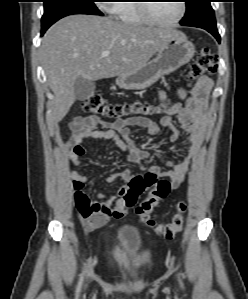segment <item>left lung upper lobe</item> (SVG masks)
I'll use <instances>...</instances> for the list:
<instances>
[{
	"label": "left lung upper lobe",
	"mask_w": 248,
	"mask_h": 299,
	"mask_svg": "<svg viewBox=\"0 0 248 299\" xmlns=\"http://www.w3.org/2000/svg\"><path fill=\"white\" fill-rule=\"evenodd\" d=\"M185 2L186 13L180 21L181 25L199 28L216 26L211 0H185Z\"/></svg>",
	"instance_id": "obj_1"
}]
</instances>
